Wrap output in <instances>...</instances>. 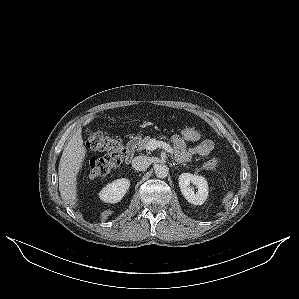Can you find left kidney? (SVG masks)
Returning a JSON list of instances; mask_svg holds the SVG:
<instances>
[{
	"label": "left kidney",
	"instance_id": "1",
	"mask_svg": "<svg viewBox=\"0 0 299 299\" xmlns=\"http://www.w3.org/2000/svg\"><path fill=\"white\" fill-rule=\"evenodd\" d=\"M192 185L196 186L194 192ZM179 187L185 199L194 205L203 204L208 196V184L203 176L193 175L191 173H182L179 176Z\"/></svg>",
	"mask_w": 299,
	"mask_h": 299
}]
</instances>
